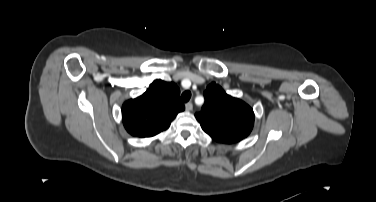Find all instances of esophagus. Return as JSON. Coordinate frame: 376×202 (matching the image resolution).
<instances>
[{"label": "esophagus", "instance_id": "esophagus-1", "mask_svg": "<svg viewBox=\"0 0 376 202\" xmlns=\"http://www.w3.org/2000/svg\"><path fill=\"white\" fill-rule=\"evenodd\" d=\"M185 107H186V110H187V111H192V109H193V104H192L191 102H188V103H186Z\"/></svg>", "mask_w": 376, "mask_h": 202}]
</instances>
